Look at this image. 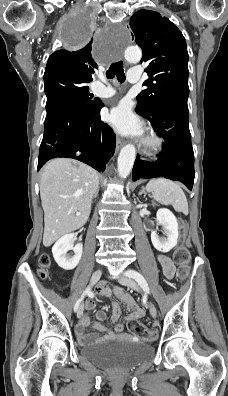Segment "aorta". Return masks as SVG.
<instances>
[{
	"label": "aorta",
	"mask_w": 228,
	"mask_h": 396,
	"mask_svg": "<svg viewBox=\"0 0 228 396\" xmlns=\"http://www.w3.org/2000/svg\"><path fill=\"white\" fill-rule=\"evenodd\" d=\"M125 59L130 63H137L142 57V52L136 47H127L124 51ZM136 149L133 144L125 145L118 156V174L121 178H126L134 165Z\"/></svg>",
	"instance_id": "obj_1"
}]
</instances>
